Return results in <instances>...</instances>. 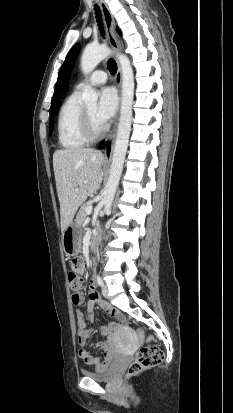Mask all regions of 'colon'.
<instances>
[{
  "label": "colon",
  "mask_w": 233,
  "mask_h": 413,
  "mask_svg": "<svg viewBox=\"0 0 233 413\" xmlns=\"http://www.w3.org/2000/svg\"><path fill=\"white\" fill-rule=\"evenodd\" d=\"M69 286L73 294L80 291L83 285V278L75 273L68 274ZM164 358L163 351L156 345L148 344L140 348L135 360L128 366L127 375L132 376L145 369L159 365Z\"/></svg>",
  "instance_id": "1"
}]
</instances>
